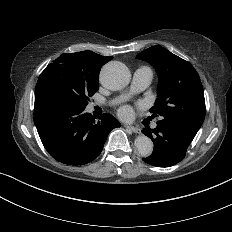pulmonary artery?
<instances>
[{
	"mask_svg": "<svg viewBox=\"0 0 232 232\" xmlns=\"http://www.w3.org/2000/svg\"><path fill=\"white\" fill-rule=\"evenodd\" d=\"M134 80V86H129L128 89L123 93L112 98H103V105L106 107H113L116 105L117 100H119V102L122 104L127 103L128 100L133 98V96L139 95L141 89L145 88L148 84L153 82L154 72L150 68H143L135 73Z\"/></svg>",
	"mask_w": 232,
	"mask_h": 232,
	"instance_id": "1",
	"label": "pulmonary artery"
}]
</instances>
